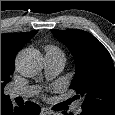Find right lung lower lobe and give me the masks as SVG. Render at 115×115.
Instances as JSON below:
<instances>
[{
    "mask_svg": "<svg viewBox=\"0 0 115 115\" xmlns=\"http://www.w3.org/2000/svg\"><path fill=\"white\" fill-rule=\"evenodd\" d=\"M39 113V105L30 101L18 107L13 106L10 99L1 103V115H36Z\"/></svg>",
    "mask_w": 115,
    "mask_h": 115,
    "instance_id": "obj_1",
    "label": "right lung lower lobe"
}]
</instances>
